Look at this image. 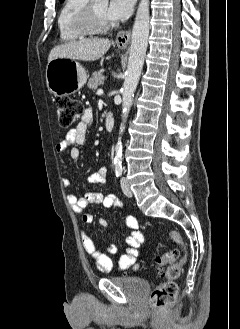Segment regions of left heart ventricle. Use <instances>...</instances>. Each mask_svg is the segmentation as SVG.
<instances>
[{"instance_id": "b2bd125f", "label": "left heart ventricle", "mask_w": 240, "mask_h": 329, "mask_svg": "<svg viewBox=\"0 0 240 329\" xmlns=\"http://www.w3.org/2000/svg\"><path fill=\"white\" fill-rule=\"evenodd\" d=\"M93 6L96 13L104 20L109 21L105 16L107 3L104 0H93Z\"/></svg>"}]
</instances>
